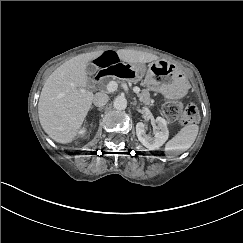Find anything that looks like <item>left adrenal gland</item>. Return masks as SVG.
Listing matches in <instances>:
<instances>
[{"label": "left adrenal gland", "mask_w": 243, "mask_h": 243, "mask_svg": "<svg viewBox=\"0 0 243 243\" xmlns=\"http://www.w3.org/2000/svg\"><path fill=\"white\" fill-rule=\"evenodd\" d=\"M137 103V101H136V99L134 98V104H136ZM140 105H142V103H140Z\"/></svg>", "instance_id": "left-adrenal-gland-1"}]
</instances>
